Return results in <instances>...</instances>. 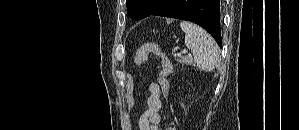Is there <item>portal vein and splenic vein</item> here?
<instances>
[{
    "label": "portal vein and splenic vein",
    "mask_w": 299,
    "mask_h": 130,
    "mask_svg": "<svg viewBox=\"0 0 299 130\" xmlns=\"http://www.w3.org/2000/svg\"><path fill=\"white\" fill-rule=\"evenodd\" d=\"M186 52H187V50H186V49L182 51V53H186Z\"/></svg>",
    "instance_id": "portal-vein-and-splenic-vein-1"
}]
</instances>
